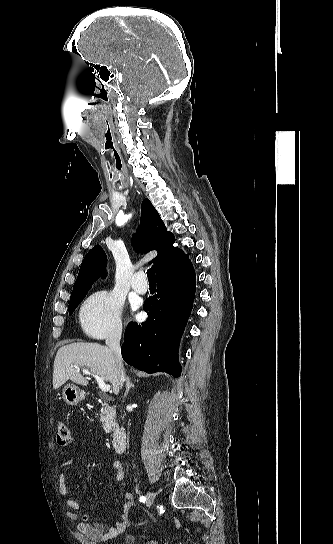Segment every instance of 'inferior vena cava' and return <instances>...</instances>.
I'll use <instances>...</instances> for the list:
<instances>
[{"label":"inferior vena cava","mask_w":333,"mask_h":544,"mask_svg":"<svg viewBox=\"0 0 333 544\" xmlns=\"http://www.w3.org/2000/svg\"><path fill=\"white\" fill-rule=\"evenodd\" d=\"M121 334H122V329L118 328L111 331L106 338L107 346L114 353L120 387L123 386V383L125 380V371H124V367L122 363V356H121V349H120Z\"/></svg>","instance_id":"inferior-vena-cava-1"}]
</instances>
